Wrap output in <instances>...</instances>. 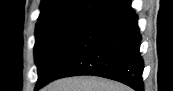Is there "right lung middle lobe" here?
<instances>
[{
    "label": "right lung middle lobe",
    "mask_w": 173,
    "mask_h": 91,
    "mask_svg": "<svg viewBox=\"0 0 173 91\" xmlns=\"http://www.w3.org/2000/svg\"><path fill=\"white\" fill-rule=\"evenodd\" d=\"M108 6L110 1H104ZM87 20L71 19L36 26L34 47L35 62L38 71L37 84L43 82L65 48Z\"/></svg>",
    "instance_id": "right-lung-middle-lobe-1"
}]
</instances>
